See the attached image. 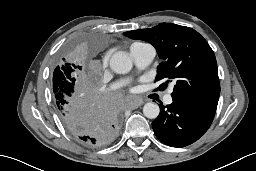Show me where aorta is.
I'll list each match as a JSON object with an SVG mask.
<instances>
[{
  "instance_id": "aorta-1",
  "label": "aorta",
  "mask_w": 256,
  "mask_h": 171,
  "mask_svg": "<svg viewBox=\"0 0 256 171\" xmlns=\"http://www.w3.org/2000/svg\"><path fill=\"white\" fill-rule=\"evenodd\" d=\"M132 60L130 57L122 52L118 51L114 53L110 59L111 69L118 74H126L132 69ZM160 113V108L156 103L148 102L143 107V114L149 119H155Z\"/></svg>"
}]
</instances>
